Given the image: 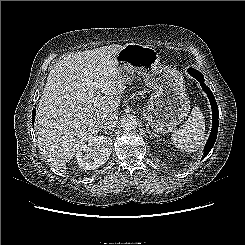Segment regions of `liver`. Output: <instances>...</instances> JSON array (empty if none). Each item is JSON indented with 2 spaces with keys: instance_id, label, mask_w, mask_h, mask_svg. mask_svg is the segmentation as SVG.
I'll list each match as a JSON object with an SVG mask.
<instances>
[{
  "instance_id": "obj_1",
  "label": "liver",
  "mask_w": 245,
  "mask_h": 245,
  "mask_svg": "<svg viewBox=\"0 0 245 245\" xmlns=\"http://www.w3.org/2000/svg\"><path fill=\"white\" fill-rule=\"evenodd\" d=\"M122 48L113 44L72 53L47 77L37 108L38 144L47 162L62 173L75 153L98 134L102 118L118 115L126 87L116 61Z\"/></svg>"
}]
</instances>
